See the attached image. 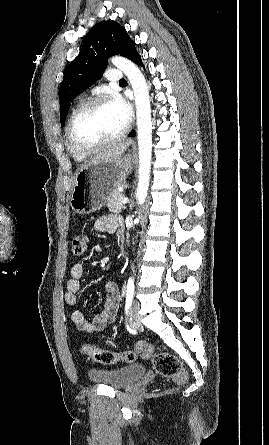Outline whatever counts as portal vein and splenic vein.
<instances>
[{
  "label": "portal vein and splenic vein",
  "instance_id": "portal-vein-and-splenic-vein-1",
  "mask_svg": "<svg viewBox=\"0 0 269 445\" xmlns=\"http://www.w3.org/2000/svg\"><path fill=\"white\" fill-rule=\"evenodd\" d=\"M121 202H122L123 204H127V203L129 202V199L126 198V197H124V198L121 199Z\"/></svg>",
  "mask_w": 269,
  "mask_h": 445
}]
</instances>
